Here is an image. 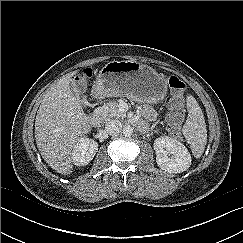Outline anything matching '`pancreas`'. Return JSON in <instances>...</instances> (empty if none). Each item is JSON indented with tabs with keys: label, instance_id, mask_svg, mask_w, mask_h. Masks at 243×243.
I'll use <instances>...</instances> for the list:
<instances>
[{
	"label": "pancreas",
	"instance_id": "pancreas-1",
	"mask_svg": "<svg viewBox=\"0 0 243 243\" xmlns=\"http://www.w3.org/2000/svg\"><path fill=\"white\" fill-rule=\"evenodd\" d=\"M100 113L103 118L106 120L112 118L125 117L126 114L119 109V104L116 101H109L100 107Z\"/></svg>",
	"mask_w": 243,
	"mask_h": 243
}]
</instances>
